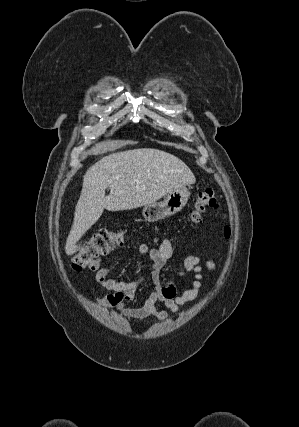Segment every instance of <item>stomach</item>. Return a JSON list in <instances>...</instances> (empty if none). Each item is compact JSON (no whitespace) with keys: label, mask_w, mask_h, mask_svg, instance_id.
I'll return each mask as SVG.
<instances>
[{"label":"stomach","mask_w":299,"mask_h":427,"mask_svg":"<svg viewBox=\"0 0 299 427\" xmlns=\"http://www.w3.org/2000/svg\"><path fill=\"white\" fill-rule=\"evenodd\" d=\"M190 197L189 190L184 186L170 192L163 201L145 205L142 215L148 222H156L180 212Z\"/></svg>","instance_id":"1"}]
</instances>
